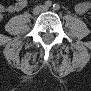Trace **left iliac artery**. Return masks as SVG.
Returning <instances> with one entry per match:
<instances>
[{
	"label": "left iliac artery",
	"mask_w": 91,
	"mask_h": 91,
	"mask_svg": "<svg viewBox=\"0 0 91 91\" xmlns=\"http://www.w3.org/2000/svg\"><path fill=\"white\" fill-rule=\"evenodd\" d=\"M59 8H60V6H59L58 4H54V5H53V9H54V10H59Z\"/></svg>",
	"instance_id": "44dca946"
}]
</instances>
